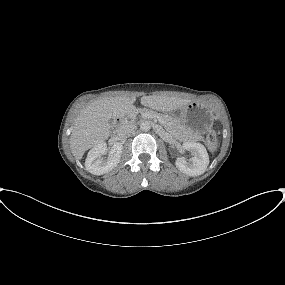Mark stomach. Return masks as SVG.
<instances>
[{"mask_svg":"<svg viewBox=\"0 0 285 285\" xmlns=\"http://www.w3.org/2000/svg\"><path fill=\"white\" fill-rule=\"evenodd\" d=\"M174 115L193 136L205 134L214 122L212 110L206 104L195 101L174 110Z\"/></svg>","mask_w":285,"mask_h":285,"instance_id":"0dacf381","label":"stomach"}]
</instances>
